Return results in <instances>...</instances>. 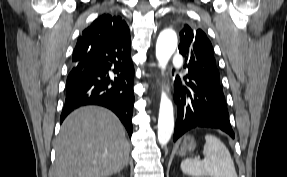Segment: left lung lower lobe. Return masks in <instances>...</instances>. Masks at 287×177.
<instances>
[{
  "instance_id": "0a47b994",
  "label": "left lung lower lobe",
  "mask_w": 287,
  "mask_h": 177,
  "mask_svg": "<svg viewBox=\"0 0 287 177\" xmlns=\"http://www.w3.org/2000/svg\"><path fill=\"white\" fill-rule=\"evenodd\" d=\"M174 99L178 117L174 131L176 141L194 127L218 128L234 138L222 88L203 87L192 77H179L174 82Z\"/></svg>"
}]
</instances>
